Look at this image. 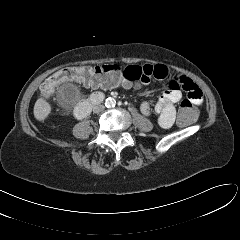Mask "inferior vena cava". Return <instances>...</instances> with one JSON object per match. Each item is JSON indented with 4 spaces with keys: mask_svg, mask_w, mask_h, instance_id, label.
<instances>
[{
    "mask_svg": "<svg viewBox=\"0 0 240 240\" xmlns=\"http://www.w3.org/2000/svg\"><path fill=\"white\" fill-rule=\"evenodd\" d=\"M104 109V106L103 105H95L93 107V112L94 113H99L100 111H102Z\"/></svg>",
    "mask_w": 240,
    "mask_h": 240,
    "instance_id": "inferior-vena-cava-1",
    "label": "inferior vena cava"
}]
</instances>
